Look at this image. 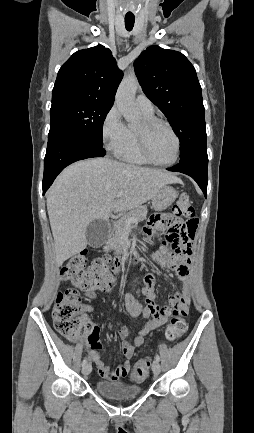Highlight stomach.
<instances>
[{
  "label": "stomach",
  "instance_id": "1",
  "mask_svg": "<svg viewBox=\"0 0 254 433\" xmlns=\"http://www.w3.org/2000/svg\"><path fill=\"white\" fill-rule=\"evenodd\" d=\"M177 196L178 193L173 187L164 185L152 198V207L156 211H163L176 200Z\"/></svg>",
  "mask_w": 254,
  "mask_h": 433
}]
</instances>
